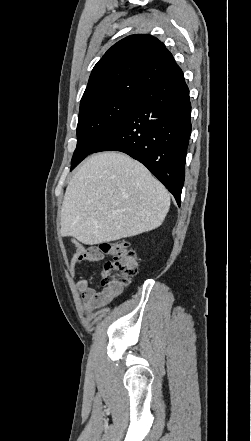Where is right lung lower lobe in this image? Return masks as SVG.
Returning <instances> with one entry per match:
<instances>
[{"label":"right lung lower lobe","mask_w":251,"mask_h":441,"mask_svg":"<svg viewBox=\"0 0 251 441\" xmlns=\"http://www.w3.org/2000/svg\"><path fill=\"white\" fill-rule=\"evenodd\" d=\"M190 114L189 89L179 71L144 93L92 153L121 151L140 161L180 206L191 134Z\"/></svg>","instance_id":"right-lung-lower-lobe-1"}]
</instances>
